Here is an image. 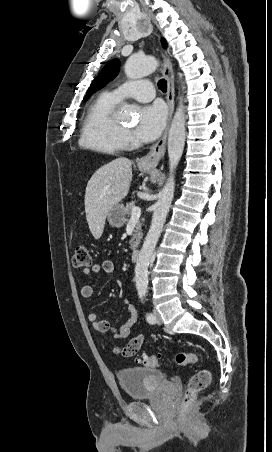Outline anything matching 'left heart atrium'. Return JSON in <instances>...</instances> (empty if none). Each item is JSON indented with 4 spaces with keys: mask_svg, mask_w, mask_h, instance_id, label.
Instances as JSON below:
<instances>
[{
    "mask_svg": "<svg viewBox=\"0 0 272 452\" xmlns=\"http://www.w3.org/2000/svg\"><path fill=\"white\" fill-rule=\"evenodd\" d=\"M166 123V110L160 103H154L141 109L136 135L144 141L156 139L164 129Z\"/></svg>",
    "mask_w": 272,
    "mask_h": 452,
    "instance_id": "left-heart-atrium-1",
    "label": "left heart atrium"
}]
</instances>
